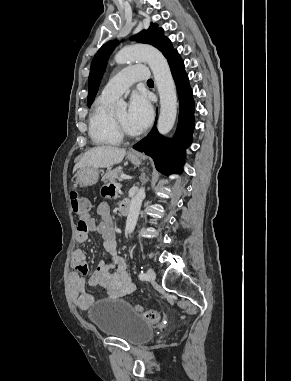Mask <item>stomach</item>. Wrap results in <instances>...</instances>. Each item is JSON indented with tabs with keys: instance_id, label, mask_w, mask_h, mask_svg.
<instances>
[{
	"instance_id": "0dacf381",
	"label": "stomach",
	"mask_w": 291,
	"mask_h": 381,
	"mask_svg": "<svg viewBox=\"0 0 291 381\" xmlns=\"http://www.w3.org/2000/svg\"><path fill=\"white\" fill-rule=\"evenodd\" d=\"M127 158L134 165L141 164L142 158L139 154H134L130 152L127 154ZM75 177L76 184H78L80 187H88L97 183L99 178V171L95 168H83L77 171Z\"/></svg>"
}]
</instances>
